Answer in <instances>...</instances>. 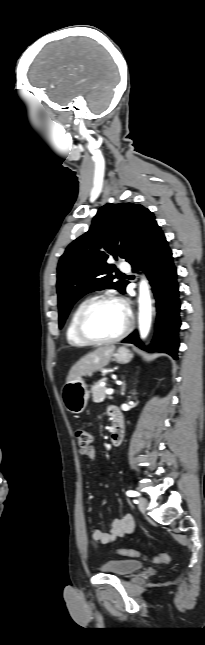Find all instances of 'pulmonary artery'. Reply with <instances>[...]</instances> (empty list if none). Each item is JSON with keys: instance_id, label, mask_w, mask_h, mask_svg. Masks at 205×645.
<instances>
[{"instance_id": "pulmonary-artery-1", "label": "pulmonary artery", "mask_w": 205, "mask_h": 645, "mask_svg": "<svg viewBox=\"0 0 205 645\" xmlns=\"http://www.w3.org/2000/svg\"><path fill=\"white\" fill-rule=\"evenodd\" d=\"M119 269L121 271L128 272V271H130V265L128 263H126V262H121L119 264Z\"/></svg>"}]
</instances>
